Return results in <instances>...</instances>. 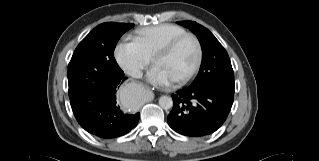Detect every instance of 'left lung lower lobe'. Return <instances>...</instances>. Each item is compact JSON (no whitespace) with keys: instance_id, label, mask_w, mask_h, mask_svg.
Listing matches in <instances>:
<instances>
[{"instance_id":"1","label":"left lung lower lobe","mask_w":319,"mask_h":161,"mask_svg":"<svg viewBox=\"0 0 319 161\" xmlns=\"http://www.w3.org/2000/svg\"><path fill=\"white\" fill-rule=\"evenodd\" d=\"M173 109L167 117L176 132L201 137L215 132L226 120L234 94L209 88L189 86L172 95Z\"/></svg>"}]
</instances>
